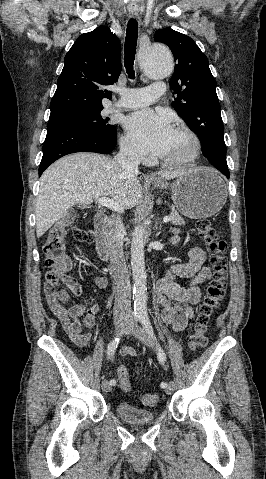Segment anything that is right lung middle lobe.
<instances>
[{
	"instance_id": "right-lung-middle-lobe-1",
	"label": "right lung middle lobe",
	"mask_w": 266,
	"mask_h": 479,
	"mask_svg": "<svg viewBox=\"0 0 266 479\" xmlns=\"http://www.w3.org/2000/svg\"><path fill=\"white\" fill-rule=\"evenodd\" d=\"M102 109L103 107L61 110L51 113L49 122L68 123L100 132H114V126L108 124L109 119L101 116Z\"/></svg>"
}]
</instances>
